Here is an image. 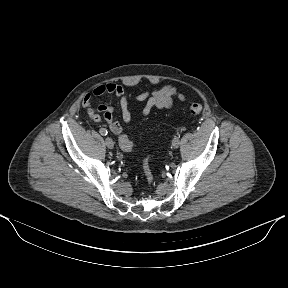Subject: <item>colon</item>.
Listing matches in <instances>:
<instances>
[{
    "label": "colon",
    "instance_id": "colon-1",
    "mask_svg": "<svg viewBox=\"0 0 288 288\" xmlns=\"http://www.w3.org/2000/svg\"><path fill=\"white\" fill-rule=\"evenodd\" d=\"M202 111V106L198 103H194L190 106L189 108V112L192 116H198ZM92 119L94 120H98L99 119V114L92 110L88 113ZM119 143L120 146L126 150V151H130L134 148V143L131 142L127 136H122L121 138H119ZM143 170H144V174L146 176L147 181L151 184L153 182V175L150 169V159L146 158L143 162Z\"/></svg>",
    "mask_w": 288,
    "mask_h": 288
}]
</instances>
